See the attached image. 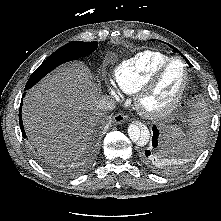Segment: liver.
Wrapping results in <instances>:
<instances>
[{"mask_svg": "<svg viewBox=\"0 0 221 221\" xmlns=\"http://www.w3.org/2000/svg\"><path fill=\"white\" fill-rule=\"evenodd\" d=\"M100 98L87 66L58 68L24 98L22 118L31 144L56 161L78 159L99 120Z\"/></svg>", "mask_w": 221, "mask_h": 221, "instance_id": "liver-1", "label": "liver"}]
</instances>
